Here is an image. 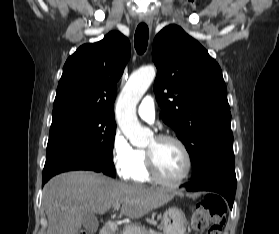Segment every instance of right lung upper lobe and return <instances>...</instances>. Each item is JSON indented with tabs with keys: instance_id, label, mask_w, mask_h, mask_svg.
Here are the masks:
<instances>
[{
	"instance_id": "cb5924a9",
	"label": "right lung upper lobe",
	"mask_w": 279,
	"mask_h": 234,
	"mask_svg": "<svg viewBox=\"0 0 279 234\" xmlns=\"http://www.w3.org/2000/svg\"><path fill=\"white\" fill-rule=\"evenodd\" d=\"M129 57V40L119 31L80 46L63 67L53 112L81 110L113 117L116 85Z\"/></svg>"
}]
</instances>
